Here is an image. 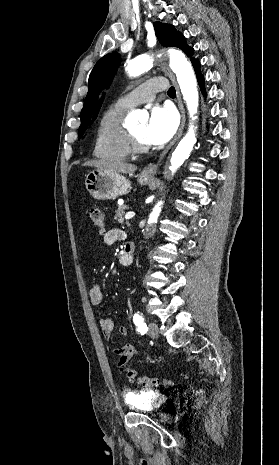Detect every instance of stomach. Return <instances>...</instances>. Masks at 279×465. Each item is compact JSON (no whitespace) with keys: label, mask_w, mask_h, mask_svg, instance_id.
Here are the masks:
<instances>
[{"label":"stomach","mask_w":279,"mask_h":465,"mask_svg":"<svg viewBox=\"0 0 279 465\" xmlns=\"http://www.w3.org/2000/svg\"><path fill=\"white\" fill-rule=\"evenodd\" d=\"M151 177L139 175L138 182L148 184ZM85 187L87 191L98 200L115 199L131 189L128 179L118 173L93 170L86 175Z\"/></svg>","instance_id":"obj_1"}]
</instances>
